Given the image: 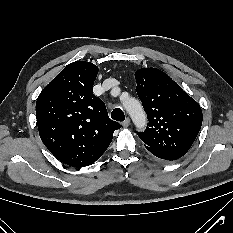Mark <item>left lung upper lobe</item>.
Wrapping results in <instances>:
<instances>
[{
  "label": "left lung upper lobe",
  "mask_w": 233,
  "mask_h": 233,
  "mask_svg": "<svg viewBox=\"0 0 233 233\" xmlns=\"http://www.w3.org/2000/svg\"><path fill=\"white\" fill-rule=\"evenodd\" d=\"M135 78L149 121L144 132H137L139 138L148 147L184 156L202 125L200 105L157 68H141Z\"/></svg>",
  "instance_id": "1"
}]
</instances>
